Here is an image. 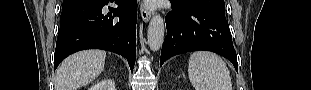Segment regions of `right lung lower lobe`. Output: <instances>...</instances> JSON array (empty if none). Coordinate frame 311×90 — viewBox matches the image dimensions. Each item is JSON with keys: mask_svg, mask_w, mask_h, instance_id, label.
Here are the masks:
<instances>
[{"mask_svg": "<svg viewBox=\"0 0 311 90\" xmlns=\"http://www.w3.org/2000/svg\"><path fill=\"white\" fill-rule=\"evenodd\" d=\"M109 2L118 8L103 9ZM118 17V18H115ZM137 0H82L62 9L54 70L68 55L84 49H103L135 64Z\"/></svg>", "mask_w": 311, "mask_h": 90, "instance_id": "right-lung-lower-lobe-1", "label": "right lung lower lobe"}]
</instances>
